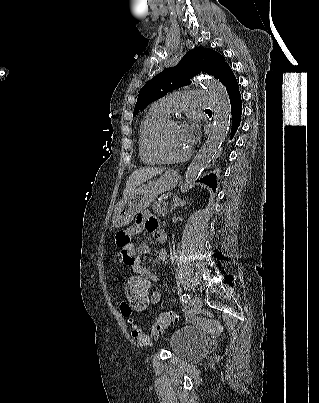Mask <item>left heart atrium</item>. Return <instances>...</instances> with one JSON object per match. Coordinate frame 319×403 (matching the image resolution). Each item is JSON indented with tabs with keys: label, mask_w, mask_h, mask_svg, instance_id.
I'll return each instance as SVG.
<instances>
[{
	"label": "left heart atrium",
	"mask_w": 319,
	"mask_h": 403,
	"mask_svg": "<svg viewBox=\"0 0 319 403\" xmlns=\"http://www.w3.org/2000/svg\"><path fill=\"white\" fill-rule=\"evenodd\" d=\"M182 131L184 139L190 147L193 145L196 139V127L193 123H187L182 126Z\"/></svg>",
	"instance_id": "39dd6f15"
}]
</instances>
